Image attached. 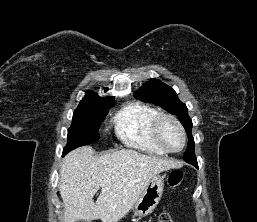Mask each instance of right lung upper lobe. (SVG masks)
<instances>
[{
    "instance_id": "1",
    "label": "right lung upper lobe",
    "mask_w": 257,
    "mask_h": 222,
    "mask_svg": "<svg viewBox=\"0 0 257 222\" xmlns=\"http://www.w3.org/2000/svg\"><path fill=\"white\" fill-rule=\"evenodd\" d=\"M114 102L113 97H106L101 98L96 93L92 91H87L85 97L81 100L80 104H86V103H103L108 104Z\"/></svg>"
}]
</instances>
